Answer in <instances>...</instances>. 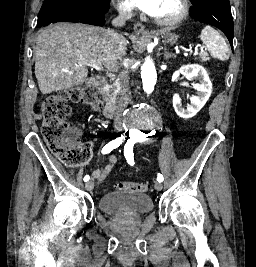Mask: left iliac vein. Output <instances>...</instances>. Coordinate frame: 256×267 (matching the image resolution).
I'll list each match as a JSON object with an SVG mask.
<instances>
[{
  "instance_id": "1",
  "label": "left iliac vein",
  "mask_w": 256,
  "mask_h": 267,
  "mask_svg": "<svg viewBox=\"0 0 256 267\" xmlns=\"http://www.w3.org/2000/svg\"><path fill=\"white\" fill-rule=\"evenodd\" d=\"M162 183L161 182H159V181H157V182H155V189L157 190V191H161L162 190Z\"/></svg>"
}]
</instances>
